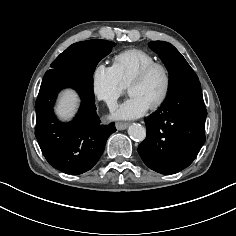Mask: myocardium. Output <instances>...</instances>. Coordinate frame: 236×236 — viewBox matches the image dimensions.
<instances>
[{
    "label": "myocardium",
    "instance_id": "obj_1",
    "mask_svg": "<svg viewBox=\"0 0 236 236\" xmlns=\"http://www.w3.org/2000/svg\"><path fill=\"white\" fill-rule=\"evenodd\" d=\"M155 69H160L165 77V86H164V90L161 94V96L157 99L156 102H154L150 108L151 109H157L159 107H161L165 101L167 100L169 94H170V90H171V86H172V76H171V72L168 68L167 65H165L164 63L161 62H152L147 64L146 66H144L131 80V82L128 85V90L130 89L131 86L141 83L143 82L148 76L149 74L155 70Z\"/></svg>",
    "mask_w": 236,
    "mask_h": 236
}]
</instances>
